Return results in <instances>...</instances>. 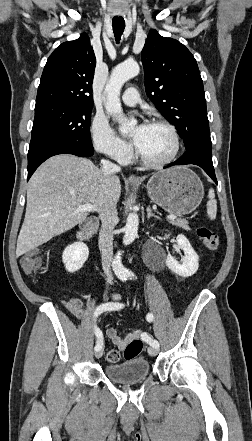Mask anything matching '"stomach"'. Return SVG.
<instances>
[{
  "label": "stomach",
  "mask_w": 252,
  "mask_h": 441,
  "mask_svg": "<svg viewBox=\"0 0 252 441\" xmlns=\"http://www.w3.org/2000/svg\"><path fill=\"white\" fill-rule=\"evenodd\" d=\"M146 189L154 203L179 216L194 211L204 196L200 178L185 166L155 173L148 180Z\"/></svg>",
  "instance_id": "obj_1"
}]
</instances>
